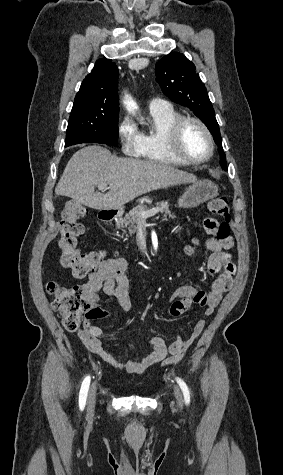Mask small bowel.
<instances>
[{"instance_id": "obj_1", "label": "small bowel", "mask_w": 283, "mask_h": 475, "mask_svg": "<svg viewBox=\"0 0 283 475\" xmlns=\"http://www.w3.org/2000/svg\"><path fill=\"white\" fill-rule=\"evenodd\" d=\"M202 225L203 230L211 237L205 242V247L210 252L206 270L209 274L215 275V279L211 288L207 291L198 288L193 290L190 287L191 285H179L175 288L172 296V298H175L176 293H194L195 304L202 306L204 309L202 316L196 320L190 336L178 335L175 341L170 344H166L162 336H154L149 340L152 352L140 359L123 362L111 354L108 351L105 333L99 327L109 324L108 312L101 306L100 292L102 291L111 297L125 311L132 306L129 281L125 274L128 262L122 258H111L103 261L89 275L88 280L83 285L85 297L93 311L85 312L86 320L82 329L78 332V337L93 355L99 357L114 369L128 374H142L149 367L159 362H164L166 365L175 364L186 356L194 341L203 332L207 318L213 314L224 294L232 288L236 272L232 256L226 251V249L234 247V240L223 239L221 242L218 240L222 221L204 218ZM170 315L173 316L171 313Z\"/></svg>"}]
</instances>
